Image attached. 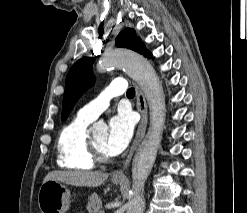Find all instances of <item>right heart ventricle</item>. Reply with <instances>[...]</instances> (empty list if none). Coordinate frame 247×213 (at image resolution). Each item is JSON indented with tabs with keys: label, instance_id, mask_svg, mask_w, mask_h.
<instances>
[{
	"label": "right heart ventricle",
	"instance_id": "e07e8e85",
	"mask_svg": "<svg viewBox=\"0 0 247 213\" xmlns=\"http://www.w3.org/2000/svg\"><path fill=\"white\" fill-rule=\"evenodd\" d=\"M91 121L76 117L65 125L57 139V164L68 170H91L95 163L87 154L86 141Z\"/></svg>",
	"mask_w": 247,
	"mask_h": 213
}]
</instances>
